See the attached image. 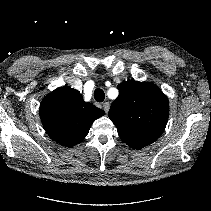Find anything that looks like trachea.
I'll use <instances>...</instances> for the list:
<instances>
[{
    "label": "trachea",
    "mask_w": 211,
    "mask_h": 211,
    "mask_svg": "<svg viewBox=\"0 0 211 211\" xmlns=\"http://www.w3.org/2000/svg\"><path fill=\"white\" fill-rule=\"evenodd\" d=\"M94 98L97 102H103L105 99V94L104 91L102 89H95L94 91Z\"/></svg>",
    "instance_id": "1"
}]
</instances>
